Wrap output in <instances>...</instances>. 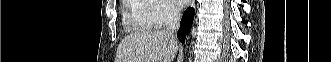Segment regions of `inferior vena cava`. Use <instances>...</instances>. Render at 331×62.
I'll list each match as a JSON object with an SVG mask.
<instances>
[{"label": "inferior vena cava", "instance_id": "obj_1", "mask_svg": "<svg viewBox=\"0 0 331 62\" xmlns=\"http://www.w3.org/2000/svg\"><path fill=\"white\" fill-rule=\"evenodd\" d=\"M180 18L181 14L179 13L178 9L175 7H170L168 12L167 27L164 31L172 38H175V33L180 27Z\"/></svg>", "mask_w": 331, "mask_h": 62}]
</instances>
